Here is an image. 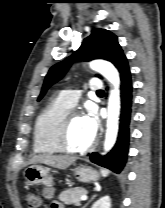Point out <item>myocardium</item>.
Returning a JSON list of instances; mask_svg holds the SVG:
<instances>
[{
  "label": "myocardium",
  "mask_w": 165,
  "mask_h": 208,
  "mask_svg": "<svg viewBox=\"0 0 165 208\" xmlns=\"http://www.w3.org/2000/svg\"><path fill=\"white\" fill-rule=\"evenodd\" d=\"M77 116H80L78 112L68 111L59 126V130L57 134V144L61 153L82 155L93 150L94 147L96 146V140L94 139L87 147L82 149H74L68 144L67 136H68L69 128L73 118Z\"/></svg>",
  "instance_id": "1"
}]
</instances>
